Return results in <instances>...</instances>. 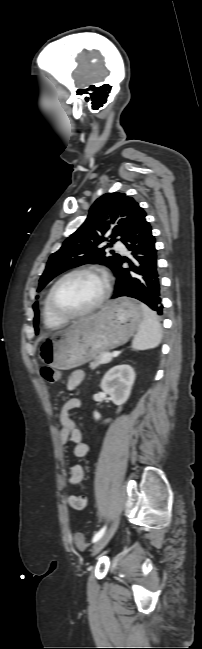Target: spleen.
<instances>
[{
    "instance_id": "obj_1",
    "label": "spleen",
    "mask_w": 202,
    "mask_h": 649,
    "mask_svg": "<svg viewBox=\"0 0 202 649\" xmlns=\"http://www.w3.org/2000/svg\"><path fill=\"white\" fill-rule=\"evenodd\" d=\"M141 307L143 320L132 342L135 350L155 348L161 340V326L157 316L147 305L142 304Z\"/></svg>"
}]
</instances>
